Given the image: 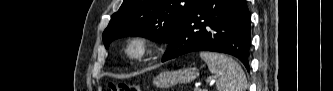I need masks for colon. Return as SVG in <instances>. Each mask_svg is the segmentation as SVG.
I'll return each mask as SVG.
<instances>
[{"mask_svg":"<svg viewBox=\"0 0 333 91\" xmlns=\"http://www.w3.org/2000/svg\"><path fill=\"white\" fill-rule=\"evenodd\" d=\"M109 91H139V87L137 85H128L125 83H110L108 86Z\"/></svg>","mask_w":333,"mask_h":91,"instance_id":"colon-1","label":"colon"}]
</instances>
